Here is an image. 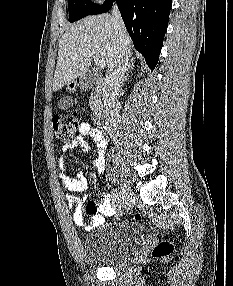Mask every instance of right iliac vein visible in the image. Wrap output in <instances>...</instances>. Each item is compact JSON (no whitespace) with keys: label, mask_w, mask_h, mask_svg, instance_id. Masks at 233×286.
I'll return each instance as SVG.
<instances>
[{"label":"right iliac vein","mask_w":233,"mask_h":286,"mask_svg":"<svg viewBox=\"0 0 233 286\" xmlns=\"http://www.w3.org/2000/svg\"><path fill=\"white\" fill-rule=\"evenodd\" d=\"M132 197H133V192L129 186V182L127 181L126 177H123L121 181L120 201H119L120 212H122L123 209H125L129 205V201L132 199Z\"/></svg>","instance_id":"obj_1"}]
</instances>
